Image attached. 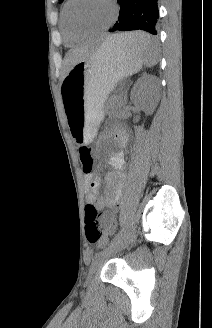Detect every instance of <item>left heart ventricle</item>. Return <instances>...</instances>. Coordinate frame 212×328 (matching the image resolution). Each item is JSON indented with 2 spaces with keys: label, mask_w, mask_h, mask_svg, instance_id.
Here are the masks:
<instances>
[{
  "label": "left heart ventricle",
  "mask_w": 212,
  "mask_h": 328,
  "mask_svg": "<svg viewBox=\"0 0 212 328\" xmlns=\"http://www.w3.org/2000/svg\"><path fill=\"white\" fill-rule=\"evenodd\" d=\"M113 14L108 0H75L69 10L74 27L95 29L105 26Z\"/></svg>",
  "instance_id": "1"
}]
</instances>
